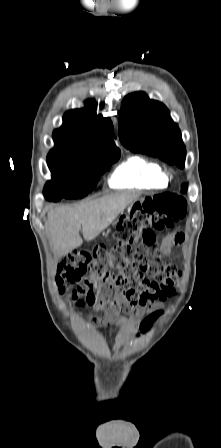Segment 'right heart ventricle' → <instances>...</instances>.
I'll return each mask as SVG.
<instances>
[{"mask_svg":"<svg viewBox=\"0 0 221 448\" xmlns=\"http://www.w3.org/2000/svg\"><path fill=\"white\" fill-rule=\"evenodd\" d=\"M109 184L114 188L163 189L167 186V180L158 163L134 155L114 171Z\"/></svg>","mask_w":221,"mask_h":448,"instance_id":"e07e8e85","label":"right heart ventricle"}]
</instances>
